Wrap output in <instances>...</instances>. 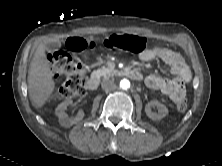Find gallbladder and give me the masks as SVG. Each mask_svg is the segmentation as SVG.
Segmentation results:
<instances>
[{"label":"gallbladder","instance_id":"obj_1","mask_svg":"<svg viewBox=\"0 0 222 166\" xmlns=\"http://www.w3.org/2000/svg\"><path fill=\"white\" fill-rule=\"evenodd\" d=\"M62 42L60 40H56V41H52L50 43H48L47 48L49 50H56L59 47H61Z\"/></svg>","mask_w":222,"mask_h":166}]
</instances>
